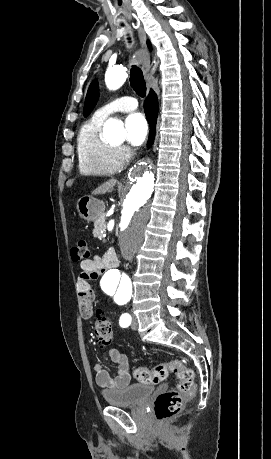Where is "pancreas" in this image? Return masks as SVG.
<instances>
[{
  "label": "pancreas",
  "mask_w": 271,
  "mask_h": 459,
  "mask_svg": "<svg viewBox=\"0 0 271 459\" xmlns=\"http://www.w3.org/2000/svg\"><path fill=\"white\" fill-rule=\"evenodd\" d=\"M106 225V222L103 219H100L97 224H95L94 234L97 239H102L105 234V229L103 226Z\"/></svg>",
  "instance_id": "pancreas-1"
}]
</instances>
